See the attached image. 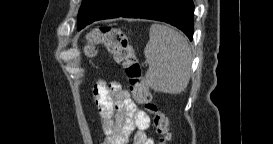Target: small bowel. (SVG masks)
Masks as SVG:
<instances>
[{
    "instance_id": "small-bowel-1",
    "label": "small bowel",
    "mask_w": 273,
    "mask_h": 144,
    "mask_svg": "<svg viewBox=\"0 0 273 144\" xmlns=\"http://www.w3.org/2000/svg\"><path fill=\"white\" fill-rule=\"evenodd\" d=\"M93 97L105 144H127L131 136L134 144H154L153 138L147 134L149 115L136 105L120 82L96 83Z\"/></svg>"
}]
</instances>
